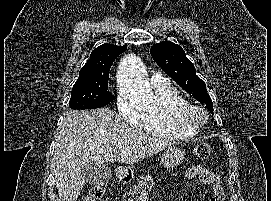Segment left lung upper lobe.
<instances>
[{
    "instance_id": "5c2ea615",
    "label": "left lung upper lobe",
    "mask_w": 271,
    "mask_h": 201,
    "mask_svg": "<svg viewBox=\"0 0 271 201\" xmlns=\"http://www.w3.org/2000/svg\"><path fill=\"white\" fill-rule=\"evenodd\" d=\"M150 53L154 61L180 87L199 102L206 105L213 113V103L207 92L205 82L195 72L194 65L186 57L184 50L170 41H163L153 45Z\"/></svg>"
}]
</instances>
